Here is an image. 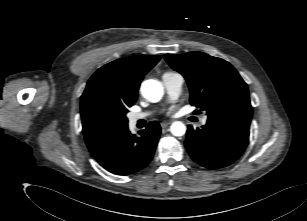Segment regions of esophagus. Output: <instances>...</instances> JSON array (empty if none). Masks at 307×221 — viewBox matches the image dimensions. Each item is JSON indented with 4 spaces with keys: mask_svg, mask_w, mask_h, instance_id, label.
Returning a JSON list of instances; mask_svg holds the SVG:
<instances>
[{
    "mask_svg": "<svg viewBox=\"0 0 307 221\" xmlns=\"http://www.w3.org/2000/svg\"><path fill=\"white\" fill-rule=\"evenodd\" d=\"M169 124H171L170 121H164L160 125H161L162 128H166Z\"/></svg>",
    "mask_w": 307,
    "mask_h": 221,
    "instance_id": "obj_1",
    "label": "esophagus"
}]
</instances>
